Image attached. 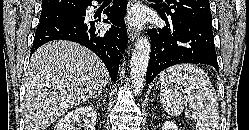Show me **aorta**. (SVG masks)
Returning <instances> with one entry per match:
<instances>
[{
	"mask_svg": "<svg viewBox=\"0 0 249 130\" xmlns=\"http://www.w3.org/2000/svg\"><path fill=\"white\" fill-rule=\"evenodd\" d=\"M150 52L151 44L148 38L137 40L130 61V79L135 94H140L143 89Z\"/></svg>",
	"mask_w": 249,
	"mask_h": 130,
	"instance_id": "1",
	"label": "aorta"
}]
</instances>
